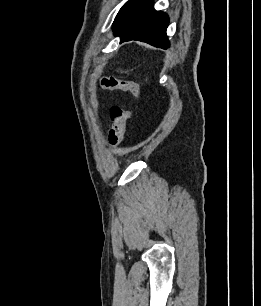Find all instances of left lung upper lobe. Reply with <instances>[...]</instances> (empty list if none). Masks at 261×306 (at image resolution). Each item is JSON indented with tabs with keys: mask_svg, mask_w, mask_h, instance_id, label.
<instances>
[{
	"mask_svg": "<svg viewBox=\"0 0 261 306\" xmlns=\"http://www.w3.org/2000/svg\"><path fill=\"white\" fill-rule=\"evenodd\" d=\"M130 2H131V0H129L128 2H126V3L124 4V6L120 9V11L118 12V14L116 15V18H115L114 23H113V28H114L115 25L117 24V22H118V20H119V18H120V16H121L123 10L125 9V7H126Z\"/></svg>",
	"mask_w": 261,
	"mask_h": 306,
	"instance_id": "obj_1",
	"label": "left lung upper lobe"
}]
</instances>
